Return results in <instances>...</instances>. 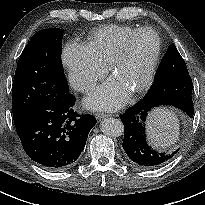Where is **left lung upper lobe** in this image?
<instances>
[{
  "label": "left lung upper lobe",
  "instance_id": "1",
  "mask_svg": "<svg viewBox=\"0 0 205 205\" xmlns=\"http://www.w3.org/2000/svg\"><path fill=\"white\" fill-rule=\"evenodd\" d=\"M180 75H189V72L175 45L171 44L157 70L154 83Z\"/></svg>",
  "mask_w": 205,
  "mask_h": 205
}]
</instances>
